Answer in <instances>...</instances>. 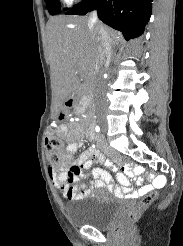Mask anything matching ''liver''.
<instances>
[{
    "label": "liver",
    "instance_id": "liver-1",
    "mask_svg": "<svg viewBox=\"0 0 183 246\" xmlns=\"http://www.w3.org/2000/svg\"><path fill=\"white\" fill-rule=\"evenodd\" d=\"M111 45H117L120 33L105 27ZM48 57L54 88L55 107L89 89L99 55L96 32L84 16H55L47 23ZM79 77L84 78L82 84Z\"/></svg>",
    "mask_w": 183,
    "mask_h": 246
}]
</instances>
